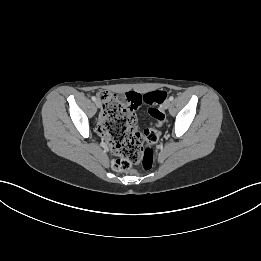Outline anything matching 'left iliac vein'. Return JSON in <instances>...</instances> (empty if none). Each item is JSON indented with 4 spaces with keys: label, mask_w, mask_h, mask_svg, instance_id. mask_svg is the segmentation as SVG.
<instances>
[{
    "label": "left iliac vein",
    "mask_w": 261,
    "mask_h": 261,
    "mask_svg": "<svg viewBox=\"0 0 261 261\" xmlns=\"http://www.w3.org/2000/svg\"><path fill=\"white\" fill-rule=\"evenodd\" d=\"M170 100L169 99H167V100H165L164 101V103H163V108L164 109H168L169 107H170Z\"/></svg>",
    "instance_id": "left-iliac-vein-1"
}]
</instances>
